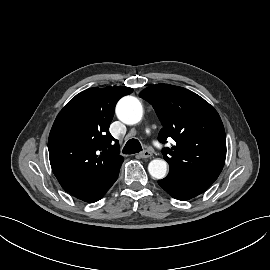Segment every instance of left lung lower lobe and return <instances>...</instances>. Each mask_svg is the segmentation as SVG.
I'll use <instances>...</instances> for the list:
<instances>
[{"instance_id": "obj_1", "label": "left lung lower lobe", "mask_w": 270, "mask_h": 270, "mask_svg": "<svg viewBox=\"0 0 270 270\" xmlns=\"http://www.w3.org/2000/svg\"><path fill=\"white\" fill-rule=\"evenodd\" d=\"M214 181L197 174H168L159 185L173 198L188 200L206 191Z\"/></svg>"}]
</instances>
